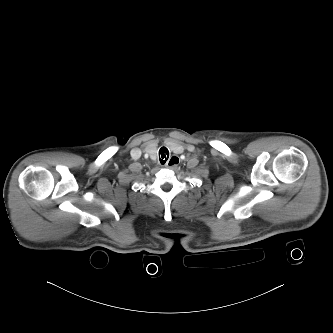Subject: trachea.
Instances as JSON below:
<instances>
[{
    "mask_svg": "<svg viewBox=\"0 0 333 333\" xmlns=\"http://www.w3.org/2000/svg\"><path fill=\"white\" fill-rule=\"evenodd\" d=\"M169 157V150L166 147H161L159 150V160L160 163L163 165L167 161Z\"/></svg>",
    "mask_w": 333,
    "mask_h": 333,
    "instance_id": "obj_1",
    "label": "trachea"
}]
</instances>
